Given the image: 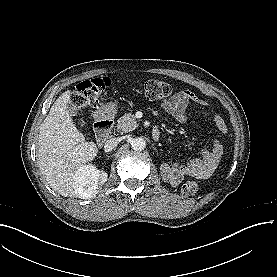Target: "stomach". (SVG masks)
<instances>
[{"instance_id":"obj_1","label":"stomach","mask_w":277,"mask_h":277,"mask_svg":"<svg viewBox=\"0 0 277 277\" xmlns=\"http://www.w3.org/2000/svg\"><path fill=\"white\" fill-rule=\"evenodd\" d=\"M118 109V104L116 102H109L104 106V113L108 115H114Z\"/></svg>"}]
</instances>
